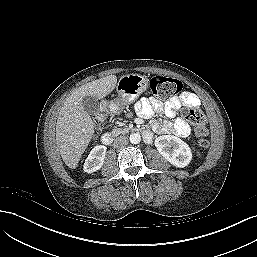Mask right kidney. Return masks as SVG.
Here are the masks:
<instances>
[{"instance_id":"obj_1","label":"right kidney","mask_w":257,"mask_h":257,"mask_svg":"<svg viewBox=\"0 0 257 257\" xmlns=\"http://www.w3.org/2000/svg\"><path fill=\"white\" fill-rule=\"evenodd\" d=\"M106 150L107 148L104 145L95 146L85 160L83 167L84 171L87 173H93L99 170L104 163Z\"/></svg>"}]
</instances>
